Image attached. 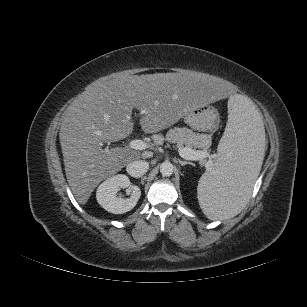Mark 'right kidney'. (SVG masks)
Segmentation results:
<instances>
[{"label": "right kidney", "instance_id": "1", "mask_svg": "<svg viewBox=\"0 0 307 307\" xmlns=\"http://www.w3.org/2000/svg\"><path fill=\"white\" fill-rule=\"evenodd\" d=\"M120 188H128L131 192L130 198L124 199L117 196ZM141 196L138 186L132 185L126 175L118 174L106 179L101 183L96 192L97 202L108 212L123 214L132 210Z\"/></svg>", "mask_w": 307, "mask_h": 307}]
</instances>
